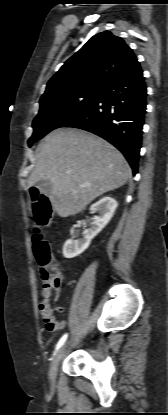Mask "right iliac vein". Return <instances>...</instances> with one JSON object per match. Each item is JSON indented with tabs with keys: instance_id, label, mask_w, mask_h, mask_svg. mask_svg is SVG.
<instances>
[{
	"instance_id": "right-iliac-vein-1",
	"label": "right iliac vein",
	"mask_w": 168,
	"mask_h": 415,
	"mask_svg": "<svg viewBox=\"0 0 168 415\" xmlns=\"http://www.w3.org/2000/svg\"><path fill=\"white\" fill-rule=\"evenodd\" d=\"M66 346H67V344H64L63 346H61L60 349L58 350L55 358H54V361H53V364H52V367H51V377H54L55 374H56L59 362H60V360L62 359V357L64 355Z\"/></svg>"
}]
</instances>
